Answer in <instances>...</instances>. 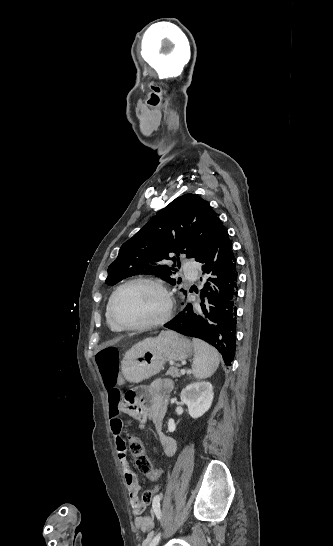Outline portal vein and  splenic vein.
Wrapping results in <instances>:
<instances>
[{"instance_id":"obj_1","label":"portal vein and splenic vein","mask_w":333,"mask_h":546,"mask_svg":"<svg viewBox=\"0 0 333 546\" xmlns=\"http://www.w3.org/2000/svg\"><path fill=\"white\" fill-rule=\"evenodd\" d=\"M180 373H181L182 375H184V374H185V370H184V369H181V370H180Z\"/></svg>"}]
</instances>
